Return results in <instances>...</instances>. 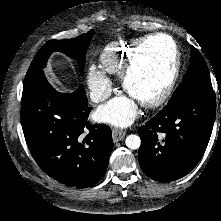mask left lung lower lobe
Listing matches in <instances>:
<instances>
[{
    "label": "left lung lower lobe",
    "instance_id": "left-lung-lower-lobe-1",
    "mask_svg": "<svg viewBox=\"0 0 221 221\" xmlns=\"http://www.w3.org/2000/svg\"><path fill=\"white\" fill-rule=\"evenodd\" d=\"M216 115L213 90L195 87L138 129L139 163L150 178L174 181L187 175L208 145Z\"/></svg>",
    "mask_w": 221,
    "mask_h": 221
}]
</instances>
